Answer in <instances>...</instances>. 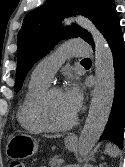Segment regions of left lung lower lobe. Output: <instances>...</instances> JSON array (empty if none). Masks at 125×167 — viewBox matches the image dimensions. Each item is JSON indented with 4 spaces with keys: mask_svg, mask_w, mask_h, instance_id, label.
<instances>
[{
    "mask_svg": "<svg viewBox=\"0 0 125 167\" xmlns=\"http://www.w3.org/2000/svg\"><path fill=\"white\" fill-rule=\"evenodd\" d=\"M105 38L113 55L115 93L111 113L100 141L109 140L122 149L125 126V45L119 18L114 21Z\"/></svg>",
    "mask_w": 125,
    "mask_h": 167,
    "instance_id": "0a47b994",
    "label": "left lung lower lobe"
}]
</instances>
